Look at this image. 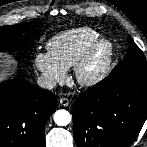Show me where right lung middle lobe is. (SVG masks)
Returning <instances> with one entry per match:
<instances>
[{
  "label": "right lung middle lobe",
  "instance_id": "dd1d6c3e",
  "mask_svg": "<svg viewBox=\"0 0 147 147\" xmlns=\"http://www.w3.org/2000/svg\"><path fill=\"white\" fill-rule=\"evenodd\" d=\"M35 25L34 22H23L17 25H6L0 27V51L6 49L10 42V35L29 31Z\"/></svg>",
  "mask_w": 147,
  "mask_h": 147
}]
</instances>
